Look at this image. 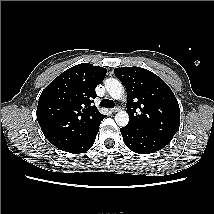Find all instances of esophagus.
I'll use <instances>...</instances> for the list:
<instances>
[{
	"instance_id": "34e87169",
	"label": "esophagus",
	"mask_w": 214,
	"mask_h": 214,
	"mask_svg": "<svg viewBox=\"0 0 214 214\" xmlns=\"http://www.w3.org/2000/svg\"><path fill=\"white\" fill-rule=\"evenodd\" d=\"M119 110H120L119 107H115V108L111 109V111H112L113 113H116V112H118Z\"/></svg>"
}]
</instances>
